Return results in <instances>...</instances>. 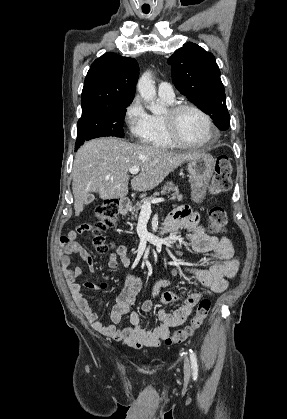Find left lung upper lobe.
I'll return each mask as SVG.
<instances>
[{
  "instance_id": "left-lung-upper-lobe-1",
  "label": "left lung upper lobe",
  "mask_w": 287,
  "mask_h": 419,
  "mask_svg": "<svg viewBox=\"0 0 287 419\" xmlns=\"http://www.w3.org/2000/svg\"><path fill=\"white\" fill-rule=\"evenodd\" d=\"M168 62L172 81L180 93L210 115L220 130H227L230 115L214 55L190 42L175 51Z\"/></svg>"
}]
</instances>
